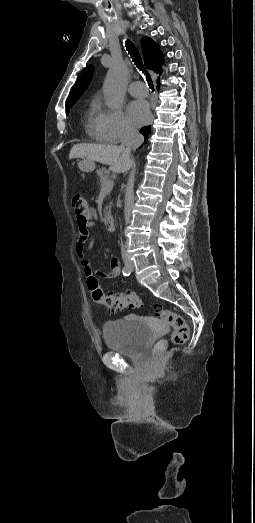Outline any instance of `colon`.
I'll return each instance as SVG.
<instances>
[{"mask_svg": "<svg viewBox=\"0 0 255 523\" xmlns=\"http://www.w3.org/2000/svg\"><path fill=\"white\" fill-rule=\"evenodd\" d=\"M72 207L78 215V218L82 220L89 210L86 199L81 195H74L72 197ZM87 285L93 300L104 305L111 312H116L126 308L137 309L143 306L142 301L135 294L103 292L94 276L88 277ZM154 309L156 315L161 319V321L172 327L173 331L170 335L171 341L175 344L186 342L189 337V327L185 319L180 314L171 310L163 309L159 305H155ZM165 346L166 340H159L154 347V354L163 351Z\"/></svg>", "mask_w": 255, "mask_h": 523, "instance_id": "5ec220e1", "label": "colon"}]
</instances>
